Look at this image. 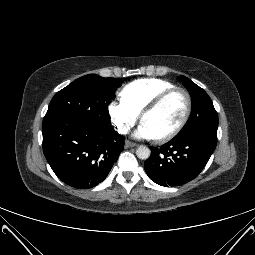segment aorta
Masks as SVG:
<instances>
[{
	"mask_svg": "<svg viewBox=\"0 0 255 255\" xmlns=\"http://www.w3.org/2000/svg\"><path fill=\"white\" fill-rule=\"evenodd\" d=\"M151 151L147 146L140 145L136 150V155L139 159L146 160L150 157Z\"/></svg>",
	"mask_w": 255,
	"mask_h": 255,
	"instance_id": "1",
	"label": "aorta"
}]
</instances>
